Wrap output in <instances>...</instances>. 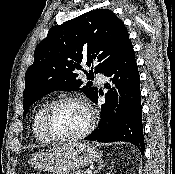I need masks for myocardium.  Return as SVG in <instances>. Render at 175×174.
I'll return each mask as SVG.
<instances>
[{"mask_svg": "<svg viewBox=\"0 0 175 174\" xmlns=\"http://www.w3.org/2000/svg\"><path fill=\"white\" fill-rule=\"evenodd\" d=\"M67 103H75L84 108L87 113L88 123L87 126L83 131L80 133L73 135V136H61L55 133L52 127V117L55 111L62 105ZM95 126V116L93 114L92 108L89 103L83 99L82 97L78 96H67L60 98L54 102H52L49 107L47 108L44 117H43V128L47 136L56 142H74L85 138L87 135L91 133Z\"/></svg>", "mask_w": 175, "mask_h": 174, "instance_id": "obj_1", "label": "myocardium"}]
</instances>
